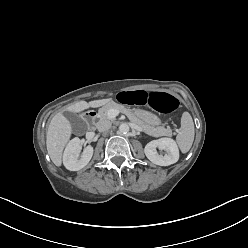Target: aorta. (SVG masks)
<instances>
[{
    "instance_id": "obj_1",
    "label": "aorta",
    "mask_w": 248,
    "mask_h": 248,
    "mask_svg": "<svg viewBox=\"0 0 248 248\" xmlns=\"http://www.w3.org/2000/svg\"><path fill=\"white\" fill-rule=\"evenodd\" d=\"M129 130H130V128H129V126H128V124H126V123H122L120 126H119V131L121 132V133H128L129 132Z\"/></svg>"
}]
</instances>
